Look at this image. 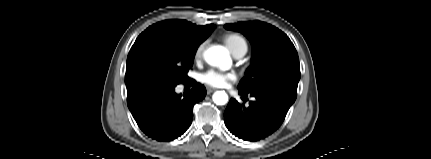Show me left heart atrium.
Wrapping results in <instances>:
<instances>
[{"instance_id":"left-heart-atrium-1","label":"left heart atrium","mask_w":431,"mask_h":159,"mask_svg":"<svg viewBox=\"0 0 431 159\" xmlns=\"http://www.w3.org/2000/svg\"><path fill=\"white\" fill-rule=\"evenodd\" d=\"M234 77L233 73H225L211 69L202 74L201 80L212 87H223Z\"/></svg>"}]
</instances>
